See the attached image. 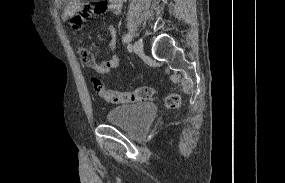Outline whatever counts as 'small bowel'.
I'll return each mask as SVG.
<instances>
[{"instance_id":"1","label":"small bowel","mask_w":285,"mask_h":183,"mask_svg":"<svg viewBox=\"0 0 285 183\" xmlns=\"http://www.w3.org/2000/svg\"><path fill=\"white\" fill-rule=\"evenodd\" d=\"M64 4L61 13L62 20H69L70 25L75 31L84 27L89 18L98 17L103 14H119L122 8L123 0H95L94 4H81L80 0H59ZM111 35L109 47L113 55L106 60L97 61L94 54L85 47H79L77 52L84 65L98 74H109L113 72L120 63V56L116 48V29L113 26L108 28Z\"/></svg>"}]
</instances>
